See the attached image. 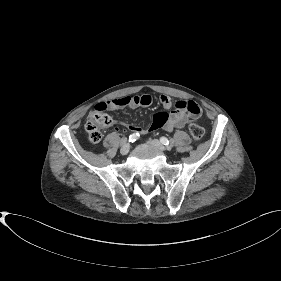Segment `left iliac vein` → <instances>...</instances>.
Wrapping results in <instances>:
<instances>
[{
  "label": "left iliac vein",
  "instance_id": "obj_1",
  "mask_svg": "<svg viewBox=\"0 0 281 281\" xmlns=\"http://www.w3.org/2000/svg\"><path fill=\"white\" fill-rule=\"evenodd\" d=\"M149 143L154 146L155 148H157L160 151H165V147L162 145V143L157 140V139H151L149 140ZM168 149H170L171 147H167Z\"/></svg>",
  "mask_w": 281,
  "mask_h": 281
}]
</instances>
